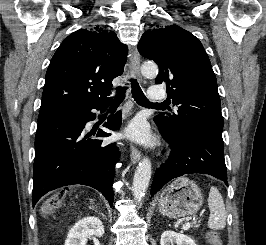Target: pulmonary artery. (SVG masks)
<instances>
[{
  "mask_svg": "<svg viewBox=\"0 0 266 245\" xmlns=\"http://www.w3.org/2000/svg\"><path fill=\"white\" fill-rule=\"evenodd\" d=\"M150 96H154L153 100L154 101H163L164 97L167 95L166 91H161V86H150V92H149ZM175 109L177 110V108L175 107Z\"/></svg>",
  "mask_w": 266,
  "mask_h": 245,
  "instance_id": "pulmonary-artery-1",
  "label": "pulmonary artery"
}]
</instances>
